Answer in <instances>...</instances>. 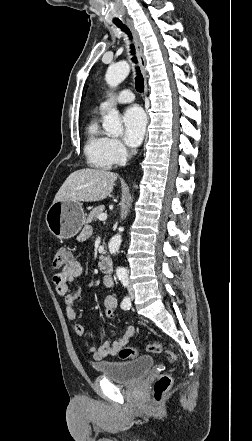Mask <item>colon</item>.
I'll return each instance as SVG.
<instances>
[{"label": "colon", "instance_id": "obj_1", "mask_svg": "<svg viewBox=\"0 0 252 441\" xmlns=\"http://www.w3.org/2000/svg\"><path fill=\"white\" fill-rule=\"evenodd\" d=\"M71 259V255L67 249L58 248L53 255L51 269L54 271L62 269L69 264ZM115 310L116 308L113 305H105L102 311V318L105 320L112 319L115 315ZM147 350L155 354H164L170 363H174L177 360L176 355L173 352L166 350L159 343H149L147 345ZM117 354L122 359L135 358L138 355V350L134 347H125ZM171 382V377L166 373L157 378L153 387V396L156 401L162 399L163 395L169 390Z\"/></svg>", "mask_w": 252, "mask_h": 441}]
</instances>
